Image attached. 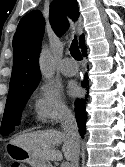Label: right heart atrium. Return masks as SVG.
<instances>
[{"mask_svg":"<svg viewBox=\"0 0 125 167\" xmlns=\"http://www.w3.org/2000/svg\"><path fill=\"white\" fill-rule=\"evenodd\" d=\"M32 110L35 120L43 125L58 123L71 114L63 95L47 82L34 91Z\"/></svg>","mask_w":125,"mask_h":167,"instance_id":"1","label":"right heart atrium"}]
</instances>
